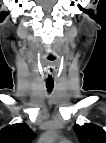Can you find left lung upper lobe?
Wrapping results in <instances>:
<instances>
[{"label": "left lung upper lobe", "mask_w": 106, "mask_h": 143, "mask_svg": "<svg viewBox=\"0 0 106 143\" xmlns=\"http://www.w3.org/2000/svg\"><path fill=\"white\" fill-rule=\"evenodd\" d=\"M73 129L80 143H106V132L95 124L75 125Z\"/></svg>", "instance_id": "1"}]
</instances>
